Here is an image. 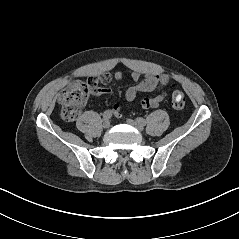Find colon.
<instances>
[{
    "instance_id": "1",
    "label": "colon",
    "mask_w": 239,
    "mask_h": 239,
    "mask_svg": "<svg viewBox=\"0 0 239 239\" xmlns=\"http://www.w3.org/2000/svg\"><path fill=\"white\" fill-rule=\"evenodd\" d=\"M98 83L97 78L90 77L86 82L73 80L59 96L61 116L66 121H73L81 112L85 102L91 93V89ZM185 105L184 94L173 85L172 106L181 110Z\"/></svg>"
}]
</instances>
